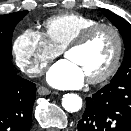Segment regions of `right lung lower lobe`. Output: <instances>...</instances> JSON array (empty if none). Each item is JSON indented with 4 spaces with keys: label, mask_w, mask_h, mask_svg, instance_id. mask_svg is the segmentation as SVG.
Segmentation results:
<instances>
[{
    "label": "right lung lower lobe",
    "mask_w": 131,
    "mask_h": 131,
    "mask_svg": "<svg viewBox=\"0 0 131 131\" xmlns=\"http://www.w3.org/2000/svg\"><path fill=\"white\" fill-rule=\"evenodd\" d=\"M36 85L14 72L10 59L0 58V131H29Z\"/></svg>",
    "instance_id": "98d812e1"
}]
</instances>
